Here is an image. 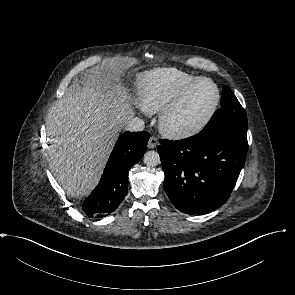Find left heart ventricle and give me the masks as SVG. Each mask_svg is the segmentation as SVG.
<instances>
[{
    "mask_svg": "<svg viewBox=\"0 0 295 295\" xmlns=\"http://www.w3.org/2000/svg\"><path fill=\"white\" fill-rule=\"evenodd\" d=\"M215 98L216 91L210 82L198 83L174 114V125L185 129L198 124L210 111Z\"/></svg>",
    "mask_w": 295,
    "mask_h": 295,
    "instance_id": "1",
    "label": "left heart ventricle"
}]
</instances>
